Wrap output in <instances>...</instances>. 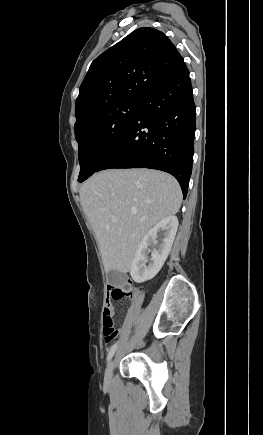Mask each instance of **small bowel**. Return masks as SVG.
I'll return each mask as SVG.
<instances>
[{
	"label": "small bowel",
	"mask_w": 263,
	"mask_h": 435,
	"mask_svg": "<svg viewBox=\"0 0 263 435\" xmlns=\"http://www.w3.org/2000/svg\"><path fill=\"white\" fill-rule=\"evenodd\" d=\"M105 312H111L113 314V305H112V301L109 297L106 300L105 305H104L103 313H105Z\"/></svg>",
	"instance_id": "obj_1"
}]
</instances>
